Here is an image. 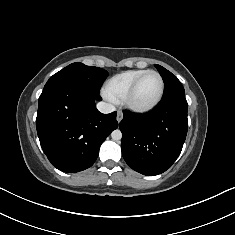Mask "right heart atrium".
Masks as SVG:
<instances>
[{
    "mask_svg": "<svg viewBox=\"0 0 235 235\" xmlns=\"http://www.w3.org/2000/svg\"><path fill=\"white\" fill-rule=\"evenodd\" d=\"M104 97L108 100H111L105 93H104ZM112 101V100H111Z\"/></svg>",
    "mask_w": 235,
    "mask_h": 235,
    "instance_id": "right-heart-atrium-1",
    "label": "right heart atrium"
}]
</instances>
